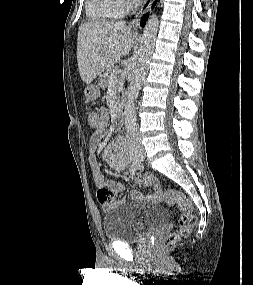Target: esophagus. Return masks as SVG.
Masks as SVG:
<instances>
[{"label": "esophagus", "instance_id": "34e87169", "mask_svg": "<svg viewBox=\"0 0 253 285\" xmlns=\"http://www.w3.org/2000/svg\"><path fill=\"white\" fill-rule=\"evenodd\" d=\"M153 0H145L141 9L137 13L136 17L133 19L131 25L133 28H139L141 17L151 8Z\"/></svg>", "mask_w": 253, "mask_h": 285}]
</instances>
